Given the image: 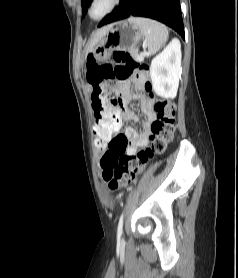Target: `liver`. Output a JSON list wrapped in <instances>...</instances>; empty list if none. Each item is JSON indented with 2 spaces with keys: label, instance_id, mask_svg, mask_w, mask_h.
Instances as JSON below:
<instances>
[{
  "label": "liver",
  "instance_id": "liver-1",
  "mask_svg": "<svg viewBox=\"0 0 238 278\" xmlns=\"http://www.w3.org/2000/svg\"><path fill=\"white\" fill-rule=\"evenodd\" d=\"M108 29V26L107 27H104L102 29H100L96 34L95 36L93 37V39L91 40L90 44L88 45V48L86 50V54H88L92 49L93 47L98 43V41L105 35L106 31Z\"/></svg>",
  "mask_w": 238,
  "mask_h": 278
}]
</instances>
